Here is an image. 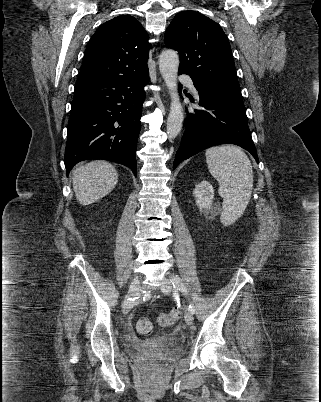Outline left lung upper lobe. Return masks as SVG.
<instances>
[{
  "mask_svg": "<svg viewBox=\"0 0 321 402\" xmlns=\"http://www.w3.org/2000/svg\"><path fill=\"white\" fill-rule=\"evenodd\" d=\"M165 45L179 52V73L193 83L238 84L227 36L208 17L193 11L178 13L165 32Z\"/></svg>",
  "mask_w": 321,
  "mask_h": 402,
  "instance_id": "left-lung-upper-lobe-1",
  "label": "left lung upper lobe"
}]
</instances>
